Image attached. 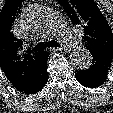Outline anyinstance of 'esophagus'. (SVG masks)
Wrapping results in <instances>:
<instances>
[{"label":"esophagus","mask_w":113,"mask_h":113,"mask_svg":"<svg viewBox=\"0 0 113 113\" xmlns=\"http://www.w3.org/2000/svg\"><path fill=\"white\" fill-rule=\"evenodd\" d=\"M56 51H64V52H68L69 49L67 47H58V48H55Z\"/></svg>","instance_id":"obj_1"}]
</instances>
